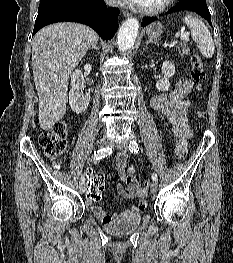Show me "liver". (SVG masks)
Wrapping results in <instances>:
<instances>
[{"label":"liver","instance_id":"6515ba94","mask_svg":"<svg viewBox=\"0 0 233 263\" xmlns=\"http://www.w3.org/2000/svg\"><path fill=\"white\" fill-rule=\"evenodd\" d=\"M96 41L93 29L72 22L48 25L34 36L32 68L41 129H52L65 115L71 72Z\"/></svg>","mask_w":233,"mask_h":263}]
</instances>
